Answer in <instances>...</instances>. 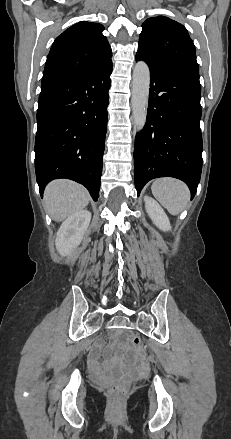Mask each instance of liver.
Returning <instances> with one entry per match:
<instances>
[{
    "label": "liver",
    "mask_w": 231,
    "mask_h": 439,
    "mask_svg": "<svg viewBox=\"0 0 231 439\" xmlns=\"http://www.w3.org/2000/svg\"><path fill=\"white\" fill-rule=\"evenodd\" d=\"M89 200V193L82 185L65 179L50 182L44 192L46 210L57 222L82 210Z\"/></svg>",
    "instance_id": "obj_1"
}]
</instances>
